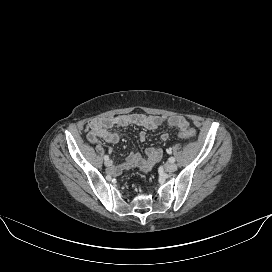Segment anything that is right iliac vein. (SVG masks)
I'll return each mask as SVG.
<instances>
[{"instance_id":"63e3f726","label":"right iliac vein","mask_w":272,"mask_h":272,"mask_svg":"<svg viewBox=\"0 0 272 272\" xmlns=\"http://www.w3.org/2000/svg\"><path fill=\"white\" fill-rule=\"evenodd\" d=\"M112 165V161L108 160V161H105V166L109 167Z\"/></svg>"}]
</instances>
